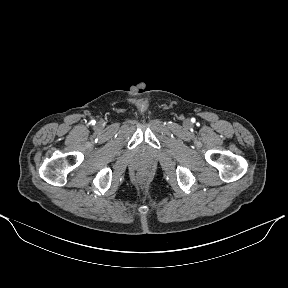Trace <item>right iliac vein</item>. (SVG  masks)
I'll return each instance as SVG.
<instances>
[{
    "label": "right iliac vein",
    "mask_w": 288,
    "mask_h": 288,
    "mask_svg": "<svg viewBox=\"0 0 288 288\" xmlns=\"http://www.w3.org/2000/svg\"><path fill=\"white\" fill-rule=\"evenodd\" d=\"M101 125L100 124H97V127H100Z\"/></svg>",
    "instance_id": "right-iliac-vein-1"
}]
</instances>
